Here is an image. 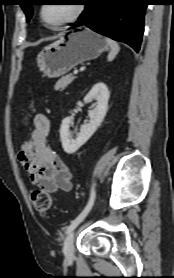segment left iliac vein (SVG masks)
<instances>
[{
    "label": "left iliac vein",
    "mask_w": 174,
    "mask_h": 278,
    "mask_svg": "<svg viewBox=\"0 0 174 278\" xmlns=\"http://www.w3.org/2000/svg\"><path fill=\"white\" fill-rule=\"evenodd\" d=\"M63 252L67 263H72L74 259V231H70L64 241Z\"/></svg>",
    "instance_id": "obj_1"
}]
</instances>
